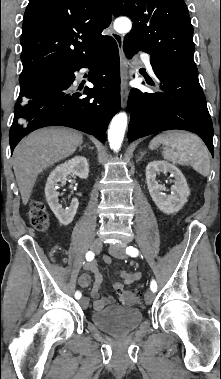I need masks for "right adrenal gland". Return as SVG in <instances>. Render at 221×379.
<instances>
[{"label": "right adrenal gland", "instance_id": "obj_1", "mask_svg": "<svg viewBox=\"0 0 221 379\" xmlns=\"http://www.w3.org/2000/svg\"><path fill=\"white\" fill-rule=\"evenodd\" d=\"M87 145L86 144H84L83 146H80L79 147V150L81 151L84 147H86Z\"/></svg>", "mask_w": 221, "mask_h": 379}]
</instances>
